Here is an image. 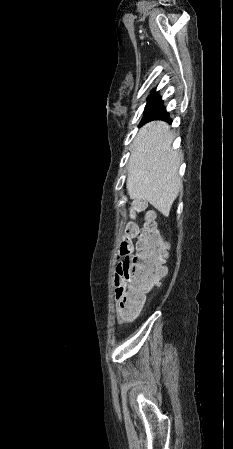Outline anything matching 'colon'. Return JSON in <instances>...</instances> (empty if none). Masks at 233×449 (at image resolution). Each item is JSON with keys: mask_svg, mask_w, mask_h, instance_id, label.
Instances as JSON below:
<instances>
[{"mask_svg": "<svg viewBox=\"0 0 233 449\" xmlns=\"http://www.w3.org/2000/svg\"><path fill=\"white\" fill-rule=\"evenodd\" d=\"M147 217V224L139 232L129 224L120 243L119 265L127 271L130 285L127 297L120 304L123 319H131L139 312L147 293L158 285L166 272L164 259L168 244L153 223L152 214L148 213ZM136 235L137 253L131 256L132 239Z\"/></svg>", "mask_w": 233, "mask_h": 449, "instance_id": "5ec220e1", "label": "colon"}]
</instances>
